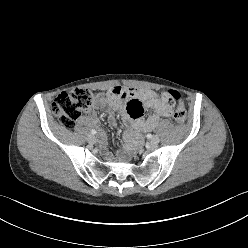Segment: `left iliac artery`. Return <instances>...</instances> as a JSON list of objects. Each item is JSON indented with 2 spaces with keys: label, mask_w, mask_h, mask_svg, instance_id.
Wrapping results in <instances>:
<instances>
[{
  "label": "left iliac artery",
  "mask_w": 248,
  "mask_h": 248,
  "mask_svg": "<svg viewBox=\"0 0 248 248\" xmlns=\"http://www.w3.org/2000/svg\"><path fill=\"white\" fill-rule=\"evenodd\" d=\"M147 137H148V138H152V134H148Z\"/></svg>",
  "instance_id": "1"
}]
</instances>
